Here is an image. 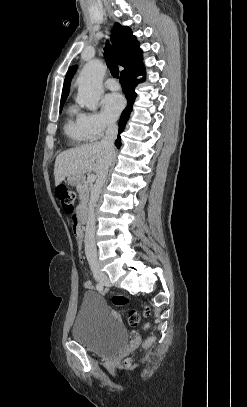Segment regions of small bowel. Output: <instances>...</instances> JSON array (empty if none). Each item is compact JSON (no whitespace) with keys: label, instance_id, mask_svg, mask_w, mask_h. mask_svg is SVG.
<instances>
[{"label":"small bowel","instance_id":"1","mask_svg":"<svg viewBox=\"0 0 247 407\" xmlns=\"http://www.w3.org/2000/svg\"><path fill=\"white\" fill-rule=\"evenodd\" d=\"M72 219H73V221H74V225H73V232H74V235H75L76 239H77L78 241H80L82 234H81V230H80L78 224L76 223V217H75V215L72 216ZM84 287H85V288H92V283H91L89 280H86V281L84 282Z\"/></svg>","mask_w":247,"mask_h":407}]
</instances>
